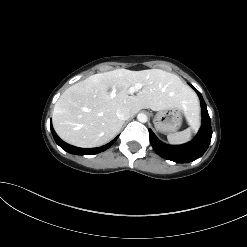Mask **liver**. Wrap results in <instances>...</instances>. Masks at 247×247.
Here are the masks:
<instances>
[{
    "label": "liver",
    "mask_w": 247,
    "mask_h": 247,
    "mask_svg": "<svg viewBox=\"0 0 247 247\" xmlns=\"http://www.w3.org/2000/svg\"><path fill=\"white\" fill-rule=\"evenodd\" d=\"M143 84L137 95L128 89ZM128 107L131 115L141 109L177 108L186 118L198 110V102L179 76L161 69H116L99 73L70 86L55 104L52 121L58 136L78 147H97L112 140L123 121L116 111Z\"/></svg>",
    "instance_id": "obj_1"
}]
</instances>
